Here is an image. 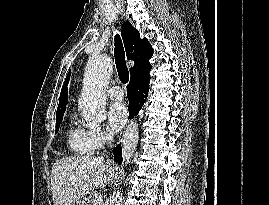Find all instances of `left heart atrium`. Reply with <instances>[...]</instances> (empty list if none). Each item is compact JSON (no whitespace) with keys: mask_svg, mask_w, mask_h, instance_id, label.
Wrapping results in <instances>:
<instances>
[{"mask_svg":"<svg viewBox=\"0 0 269 205\" xmlns=\"http://www.w3.org/2000/svg\"><path fill=\"white\" fill-rule=\"evenodd\" d=\"M128 111L123 103H113L108 110V129L112 133L118 132L126 123Z\"/></svg>","mask_w":269,"mask_h":205,"instance_id":"obj_1","label":"left heart atrium"}]
</instances>
